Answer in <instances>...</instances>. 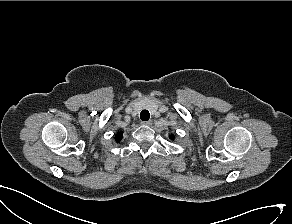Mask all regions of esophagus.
I'll return each mask as SVG.
<instances>
[{
	"mask_svg": "<svg viewBox=\"0 0 292 224\" xmlns=\"http://www.w3.org/2000/svg\"><path fill=\"white\" fill-rule=\"evenodd\" d=\"M142 125H144V126H151L152 125V121L151 120L144 121V122H142Z\"/></svg>",
	"mask_w": 292,
	"mask_h": 224,
	"instance_id": "obj_1",
	"label": "esophagus"
}]
</instances>
